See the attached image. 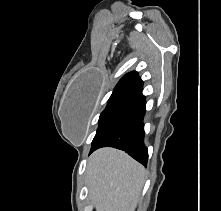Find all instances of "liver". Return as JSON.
Returning <instances> with one entry per match:
<instances>
[{
	"instance_id": "1",
	"label": "liver",
	"mask_w": 221,
	"mask_h": 211,
	"mask_svg": "<svg viewBox=\"0 0 221 211\" xmlns=\"http://www.w3.org/2000/svg\"><path fill=\"white\" fill-rule=\"evenodd\" d=\"M87 185L96 211H135L144 167L121 150L101 148L87 164Z\"/></svg>"
}]
</instances>
